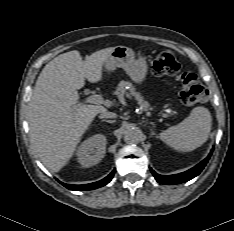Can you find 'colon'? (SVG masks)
Instances as JSON below:
<instances>
[{
    "label": "colon",
    "mask_w": 234,
    "mask_h": 231,
    "mask_svg": "<svg viewBox=\"0 0 234 231\" xmlns=\"http://www.w3.org/2000/svg\"><path fill=\"white\" fill-rule=\"evenodd\" d=\"M153 72L158 76H173L180 73V64L170 51H161L152 63ZM180 100L187 106L204 104L208 99V91L200 82L198 76L192 72L180 75Z\"/></svg>",
    "instance_id": "obj_1"
}]
</instances>
